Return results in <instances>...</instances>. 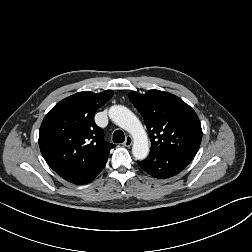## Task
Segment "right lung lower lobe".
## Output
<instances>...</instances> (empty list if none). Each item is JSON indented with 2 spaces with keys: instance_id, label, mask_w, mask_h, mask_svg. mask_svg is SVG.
Returning a JSON list of instances; mask_svg holds the SVG:
<instances>
[{
  "instance_id": "98d812e1",
  "label": "right lung lower lobe",
  "mask_w": 252,
  "mask_h": 252,
  "mask_svg": "<svg viewBox=\"0 0 252 252\" xmlns=\"http://www.w3.org/2000/svg\"><path fill=\"white\" fill-rule=\"evenodd\" d=\"M105 164L106 163L82 169L63 178L74 184H85L92 181L103 170Z\"/></svg>"
}]
</instances>
